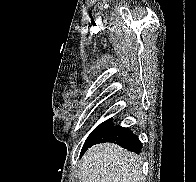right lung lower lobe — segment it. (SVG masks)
Here are the masks:
<instances>
[{"label": "right lung lower lobe", "instance_id": "obj_1", "mask_svg": "<svg viewBox=\"0 0 196 182\" xmlns=\"http://www.w3.org/2000/svg\"><path fill=\"white\" fill-rule=\"evenodd\" d=\"M104 142L115 143L137 154L141 152V148H142V144L139 141L138 137L135 134H133L132 131L129 130L128 128H123L121 126L112 125L104 132H102L89 147ZM85 151H82V153H84Z\"/></svg>", "mask_w": 196, "mask_h": 182}]
</instances>
